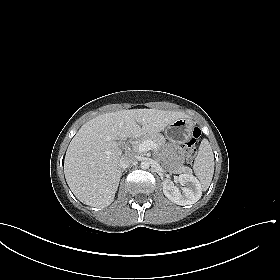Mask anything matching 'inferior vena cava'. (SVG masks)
<instances>
[{"label":"inferior vena cava","instance_id":"602c4592","mask_svg":"<svg viewBox=\"0 0 280 280\" xmlns=\"http://www.w3.org/2000/svg\"><path fill=\"white\" fill-rule=\"evenodd\" d=\"M137 159L133 154H124L120 158L119 165L124 170L136 163Z\"/></svg>","mask_w":280,"mask_h":280}]
</instances>
